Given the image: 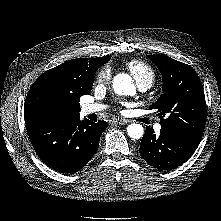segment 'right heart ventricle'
Listing matches in <instances>:
<instances>
[{"label": "right heart ventricle", "mask_w": 221, "mask_h": 221, "mask_svg": "<svg viewBox=\"0 0 221 221\" xmlns=\"http://www.w3.org/2000/svg\"><path fill=\"white\" fill-rule=\"evenodd\" d=\"M126 66L137 84H148L150 86L153 84L155 73L147 63L140 60H131L126 63Z\"/></svg>", "instance_id": "right-heart-ventricle-1"}]
</instances>
